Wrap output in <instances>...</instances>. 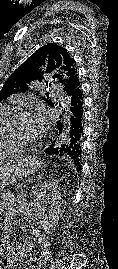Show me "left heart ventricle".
I'll use <instances>...</instances> for the list:
<instances>
[{"label":"left heart ventricle","mask_w":118,"mask_h":269,"mask_svg":"<svg viewBox=\"0 0 118 269\" xmlns=\"http://www.w3.org/2000/svg\"><path fill=\"white\" fill-rule=\"evenodd\" d=\"M14 134L21 139L34 142L41 135L38 133L36 126L30 116L25 114L14 126Z\"/></svg>","instance_id":"1"}]
</instances>
